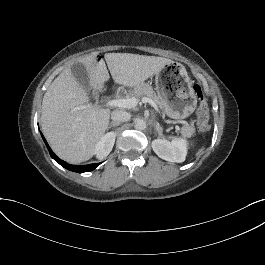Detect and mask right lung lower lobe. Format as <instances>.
<instances>
[{"mask_svg":"<svg viewBox=\"0 0 265 265\" xmlns=\"http://www.w3.org/2000/svg\"><path fill=\"white\" fill-rule=\"evenodd\" d=\"M42 138L49 150V153L51 155V157L57 161L61 166L65 167L66 169L70 170V171H73V172H77V173H83V172H87V171H92L94 170L99 164H89V165H83V166H75V165H70V164H67L66 162L60 160L53 152L52 150L50 149L49 145L47 144L45 138L43 137L42 135Z\"/></svg>","mask_w":265,"mask_h":265,"instance_id":"1","label":"right lung lower lobe"}]
</instances>
